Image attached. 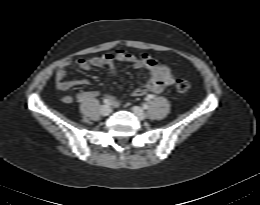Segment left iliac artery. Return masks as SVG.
<instances>
[{
    "label": "left iliac artery",
    "instance_id": "left-iliac-artery-1",
    "mask_svg": "<svg viewBox=\"0 0 260 205\" xmlns=\"http://www.w3.org/2000/svg\"><path fill=\"white\" fill-rule=\"evenodd\" d=\"M149 98H152V96L150 95ZM143 108H144V109H147V108H148V105H147V104H143Z\"/></svg>",
    "mask_w": 260,
    "mask_h": 205
}]
</instances>
